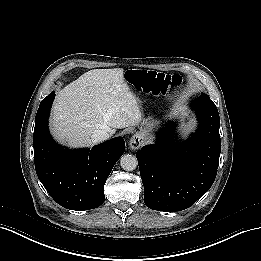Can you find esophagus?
<instances>
[{"mask_svg":"<svg viewBox=\"0 0 261 261\" xmlns=\"http://www.w3.org/2000/svg\"><path fill=\"white\" fill-rule=\"evenodd\" d=\"M144 142V138L140 134H135L131 137L129 145L133 150L139 149Z\"/></svg>","mask_w":261,"mask_h":261,"instance_id":"esophagus-1","label":"esophagus"}]
</instances>
